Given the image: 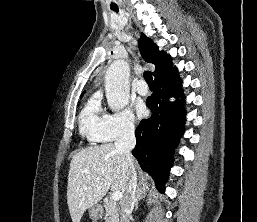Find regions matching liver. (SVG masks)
<instances>
[{
  "mask_svg": "<svg viewBox=\"0 0 257 222\" xmlns=\"http://www.w3.org/2000/svg\"><path fill=\"white\" fill-rule=\"evenodd\" d=\"M129 182L125 156L112 143L88 147L71 160L67 204L72 222H80L84 212L96 205L109 189L126 195ZM148 188V184H143Z\"/></svg>",
  "mask_w": 257,
  "mask_h": 222,
  "instance_id": "6515ba94",
  "label": "liver"
}]
</instances>
